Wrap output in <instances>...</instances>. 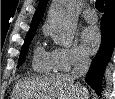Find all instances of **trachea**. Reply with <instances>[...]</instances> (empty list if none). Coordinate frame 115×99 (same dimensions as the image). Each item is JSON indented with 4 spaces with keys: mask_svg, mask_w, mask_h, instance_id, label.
Wrapping results in <instances>:
<instances>
[{
    "mask_svg": "<svg viewBox=\"0 0 115 99\" xmlns=\"http://www.w3.org/2000/svg\"><path fill=\"white\" fill-rule=\"evenodd\" d=\"M95 7L98 11L103 12L104 0H96Z\"/></svg>",
    "mask_w": 115,
    "mask_h": 99,
    "instance_id": "1",
    "label": "trachea"
}]
</instances>
